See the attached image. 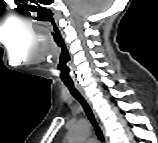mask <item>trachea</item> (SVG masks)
Segmentation results:
<instances>
[{"label":"trachea","mask_w":158,"mask_h":143,"mask_svg":"<svg viewBox=\"0 0 158 143\" xmlns=\"http://www.w3.org/2000/svg\"><path fill=\"white\" fill-rule=\"evenodd\" d=\"M64 84L69 89V91L73 95V97L82 105L89 121L91 122V124L93 125V127L95 129L98 139L100 141L104 142L105 140H104L102 131L94 117V114H93L90 106L86 102V100L82 97V95L78 92V90L75 88V86L73 84H69V83H64Z\"/></svg>","instance_id":"obj_1"}]
</instances>
